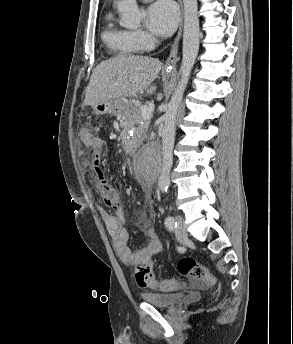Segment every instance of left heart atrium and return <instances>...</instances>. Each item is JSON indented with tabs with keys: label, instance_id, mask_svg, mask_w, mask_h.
<instances>
[{
	"label": "left heart atrium",
	"instance_id": "obj_1",
	"mask_svg": "<svg viewBox=\"0 0 293 344\" xmlns=\"http://www.w3.org/2000/svg\"><path fill=\"white\" fill-rule=\"evenodd\" d=\"M178 22V11L171 0H159L147 10L146 26L155 35H171Z\"/></svg>",
	"mask_w": 293,
	"mask_h": 344
}]
</instances>
